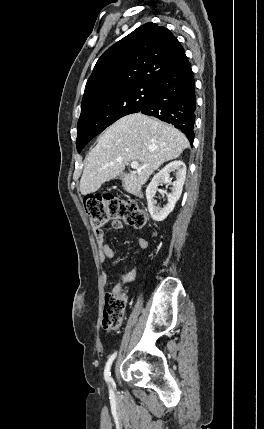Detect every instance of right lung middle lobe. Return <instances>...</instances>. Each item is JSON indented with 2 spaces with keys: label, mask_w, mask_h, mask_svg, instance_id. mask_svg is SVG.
<instances>
[{
  "label": "right lung middle lobe",
  "mask_w": 264,
  "mask_h": 429,
  "mask_svg": "<svg viewBox=\"0 0 264 429\" xmlns=\"http://www.w3.org/2000/svg\"><path fill=\"white\" fill-rule=\"evenodd\" d=\"M155 84H136L81 105L76 146L80 153L97 134L121 117L139 112L153 93Z\"/></svg>",
  "instance_id": "1"
}]
</instances>
